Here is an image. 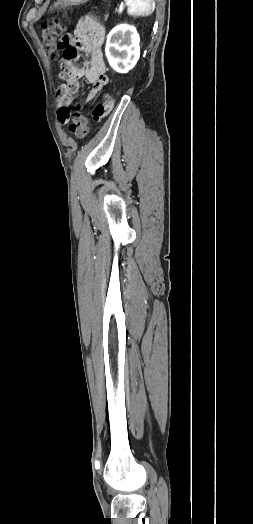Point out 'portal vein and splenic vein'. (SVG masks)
<instances>
[{
  "label": "portal vein and splenic vein",
  "instance_id": "1",
  "mask_svg": "<svg viewBox=\"0 0 253 524\" xmlns=\"http://www.w3.org/2000/svg\"><path fill=\"white\" fill-rule=\"evenodd\" d=\"M124 7H125V6H120L118 11H119V12H122L123 9H124Z\"/></svg>",
  "mask_w": 253,
  "mask_h": 524
}]
</instances>
